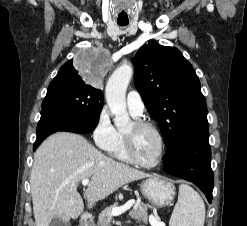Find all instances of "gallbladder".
I'll use <instances>...</instances> for the list:
<instances>
[{"instance_id":"bac80fb5","label":"gallbladder","mask_w":247,"mask_h":226,"mask_svg":"<svg viewBox=\"0 0 247 226\" xmlns=\"http://www.w3.org/2000/svg\"><path fill=\"white\" fill-rule=\"evenodd\" d=\"M49 226H70V223L64 222L61 218H54Z\"/></svg>"}]
</instances>
